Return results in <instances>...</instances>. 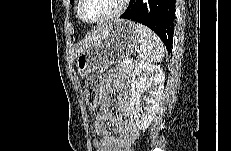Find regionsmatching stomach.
<instances>
[{
  "mask_svg": "<svg viewBox=\"0 0 231 151\" xmlns=\"http://www.w3.org/2000/svg\"><path fill=\"white\" fill-rule=\"evenodd\" d=\"M137 46L135 23L129 20L114 21L95 45L78 55L77 70L84 77L103 72L112 64L127 58Z\"/></svg>",
  "mask_w": 231,
  "mask_h": 151,
  "instance_id": "0dacf381",
  "label": "stomach"
}]
</instances>
